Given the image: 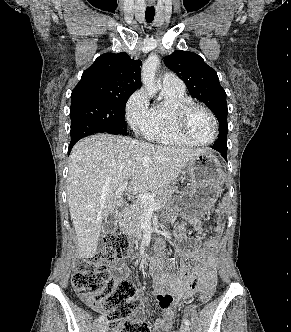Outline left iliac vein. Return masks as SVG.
Instances as JSON below:
<instances>
[{"label": "left iliac vein", "instance_id": "1", "mask_svg": "<svg viewBox=\"0 0 291 332\" xmlns=\"http://www.w3.org/2000/svg\"><path fill=\"white\" fill-rule=\"evenodd\" d=\"M179 332H190V328L188 325L183 324L181 325Z\"/></svg>", "mask_w": 291, "mask_h": 332}]
</instances>
